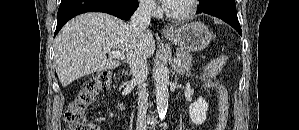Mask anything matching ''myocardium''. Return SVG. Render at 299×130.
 I'll list each match as a JSON object with an SVG mask.
<instances>
[{"mask_svg": "<svg viewBox=\"0 0 299 130\" xmlns=\"http://www.w3.org/2000/svg\"><path fill=\"white\" fill-rule=\"evenodd\" d=\"M198 2V0H189L187 1L186 6L179 11L175 10L173 5L167 6V15L177 21L186 20L195 13Z\"/></svg>", "mask_w": 299, "mask_h": 130, "instance_id": "f54148a6", "label": "myocardium"}]
</instances>
